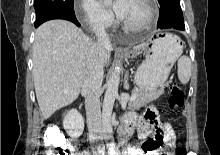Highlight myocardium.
<instances>
[{
	"instance_id": "myocardium-1",
	"label": "myocardium",
	"mask_w": 220,
	"mask_h": 155,
	"mask_svg": "<svg viewBox=\"0 0 220 155\" xmlns=\"http://www.w3.org/2000/svg\"><path fill=\"white\" fill-rule=\"evenodd\" d=\"M146 7L148 15L146 20L140 25H131L122 21V26L130 31H142L148 28L155 20L157 14V7L155 0H140Z\"/></svg>"
}]
</instances>
